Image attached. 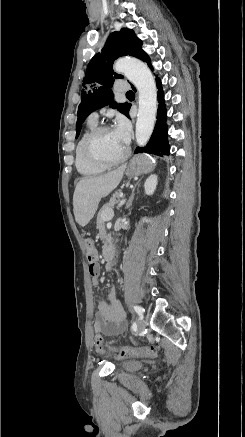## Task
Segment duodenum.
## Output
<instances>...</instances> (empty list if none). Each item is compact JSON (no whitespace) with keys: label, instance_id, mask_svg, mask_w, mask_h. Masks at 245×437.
Instances as JSON below:
<instances>
[{"label":"duodenum","instance_id":"duodenum-1","mask_svg":"<svg viewBox=\"0 0 245 437\" xmlns=\"http://www.w3.org/2000/svg\"><path fill=\"white\" fill-rule=\"evenodd\" d=\"M115 255V248L113 246H107L104 249L103 256L106 262V269L109 270L113 266V257Z\"/></svg>","mask_w":245,"mask_h":437}]
</instances>
